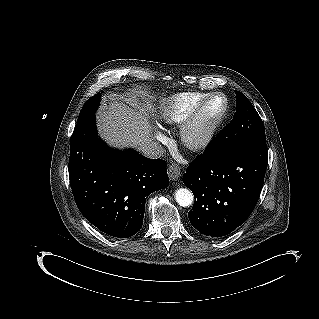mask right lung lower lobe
<instances>
[{
    "mask_svg": "<svg viewBox=\"0 0 319 319\" xmlns=\"http://www.w3.org/2000/svg\"><path fill=\"white\" fill-rule=\"evenodd\" d=\"M69 178L83 216L100 231L127 238L142 227L149 194L169 185L166 162L129 149L109 148L98 138L95 114L76 124Z\"/></svg>",
    "mask_w": 319,
    "mask_h": 319,
    "instance_id": "1",
    "label": "right lung lower lobe"
}]
</instances>
